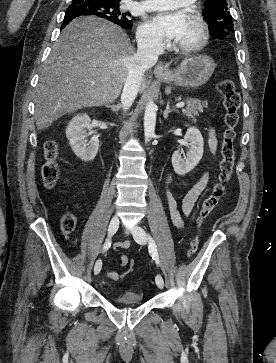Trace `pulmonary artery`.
Returning a JSON list of instances; mask_svg holds the SVG:
<instances>
[{
    "instance_id": "e3ab8cb5",
    "label": "pulmonary artery",
    "mask_w": 276,
    "mask_h": 363,
    "mask_svg": "<svg viewBox=\"0 0 276 363\" xmlns=\"http://www.w3.org/2000/svg\"><path fill=\"white\" fill-rule=\"evenodd\" d=\"M195 0H146L139 6L142 10H170L193 3Z\"/></svg>"
}]
</instances>
